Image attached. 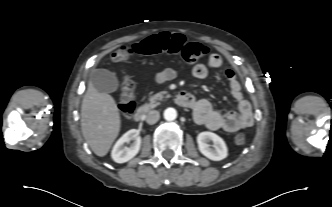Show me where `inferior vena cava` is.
<instances>
[{"label":"inferior vena cava","instance_id":"obj_1","mask_svg":"<svg viewBox=\"0 0 332 207\" xmlns=\"http://www.w3.org/2000/svg\"><path fill=\"white\" fill-rule=\"evenodd\" d=\"M160 118V114L158 111L156 110H153V111H150L148 114H147V117H146V122L150 125L152 124H155Z\"/></svg>","mask_w":332,"mask_h":207}]
</instances>
